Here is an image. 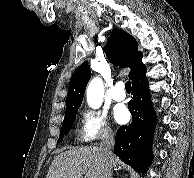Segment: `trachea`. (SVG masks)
Returning <instances> with one entry per match:
<instances>
[{"label": "trachea", "mask_w": 194, "mask_h": 178, "mask_svg": "<svg viewBox=\"0 0 194 178\" xmlns=\"http://www.w3.org/2000/svg\"><path fill=\"white\" fill-rule=\"evenodd\" d=\"M125 89H126V92H131V83H130V81H127L125 83Z\"/></svg>", "instance_id": "trachea-1"}]
</instances>
